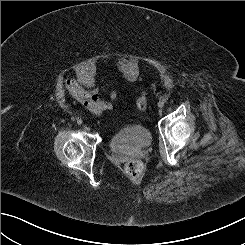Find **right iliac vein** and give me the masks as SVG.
<instances>
[{
  "mask_svg": "<svg viewBox=\"0 0 245 245\" xmlns=\"http://www.w3.org/2000/svg\"><path fill=\"white\" fill-rule=\"evenodd\" d=\"M76 122L78 125H81L83 123L82 119H80V118H78Z\"/></svg>",
  "mask_w": 245,
  "mask_h": 245,
  "instance_id": "right-iliac-vein-1",
  "label": "right iliac vein"
}]
</instances>
